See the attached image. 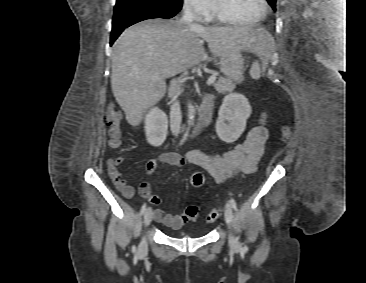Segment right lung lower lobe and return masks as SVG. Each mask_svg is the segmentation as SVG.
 <instances>
[{"label": "right lung lower lobe", "instance_id": "98d812e1", "mask_svg": "<svg viewBox=\"0 0 366 283\" xmlns=\"http://www.w3.org/2000/svg\"><path fill=\"white\" fill-rule=\"evenodd\" d=\"M176 14V12H170L154 3L116 5L114 8L110 44H113L125 28L137 22L151 18H172Z\"/></svg>", "mask_w": 366, "mask_h": 283}]
</instances>
